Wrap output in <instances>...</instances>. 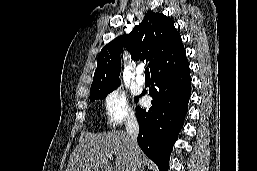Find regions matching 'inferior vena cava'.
<instances>
[{
  "instance_id": "1",
  "label": "inferior vena cava",
  "mask_w": 257,
  "mask_h": 171,
  "mask_svg": "<svg viewBox=\"0 0 257 171\" xmlns=\"http://www.w3.org/2000/svg\"><path fill=\"white\" fill-rule=\"evenodd\" d=\"M126 134L130 141V158H131V171H143L142 164L139 157V147L137 144V136L139 133V124L135 115L128 117L126 122Z\"/></svg>"
}]
</instances>
